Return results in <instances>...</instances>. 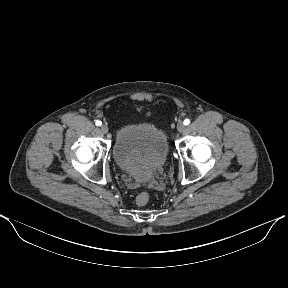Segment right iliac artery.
Returning a JSON list of instances; mask_svg holds the SVG:
<instances>
[{"instance_id": "right-iliac-artery-1", "label": "right iliac artery", "mask_w": 288, "mask_h": 288, "mask_svg": "<svg viewBox=\"0 0 288 288\" xmlns=\"http://www.w3.org/2000/svg\"><path fill=\"white\" fill-rule=\"evenodd\" d=\"M95 124H96V126H101L102 122L100 120H96Z\"/></svg>"}]
</instances>
